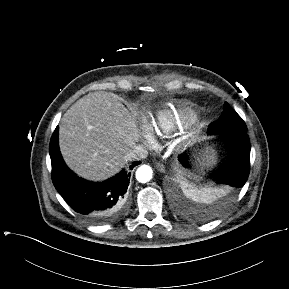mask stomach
I'll list each match as a JSON object with an SVG mask.
<instances>
[{
	"label": "stomach",
	"instance_id": "obj_1",
	"mask_svg": "<svg viewBox=\"0 0 289 289\" xmlns=\"http://www.w3.org/2000/svg\"><path fill=\"white\" fill-rule=\"evenodd\" d=\"M201 159H202V164L207 167L212 166L216 162L214 152L210 148H206V150L203 151V153L201 154Z\"/></svg>",
	"mask_w": 289,
	"mask_h": 289
}]
</instances>
